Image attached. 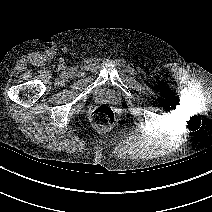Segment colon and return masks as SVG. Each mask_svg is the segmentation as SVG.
Returning a JSON list of instances; mask_svg holds the SVG:
<instances>
[{"label": "colon", "instance_id": "5ec220e1", "mask_svg": "<svg viewBox=\"0 0 212 212\" xmlns=\"http://www.w3.org/2000/svg\"><path fill=\"white\" fill-rule=\"evenodd\" d=\"M115 114L113 109L107 105L96 107L91 113L92 124L99 129H107L113 125Z\"/></svg>", "mask_w": 212, "mask_h": 212}]
</instances>
